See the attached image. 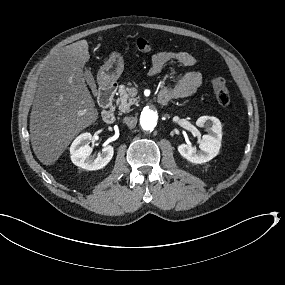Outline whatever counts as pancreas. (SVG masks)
Segmentation results:
<instances>
[{
  "label": "pancreas",
  "instance_id": "cf45deb5",
  "mask_svg": "<svg viewBox=\"0 0 285 285\" xmlns=\"http://www.w3.org/2000/svg\"><path fill=\"white\" fill-rule=\"evenodd\" d=\"M119 105V110L122 113L130 112V106L137 102L136 98H129L127 92H124L120 95V98L117 100Z\"/></svg>",
  "mask_w": 285,
  "mask_h": 285
}]
</instances>
